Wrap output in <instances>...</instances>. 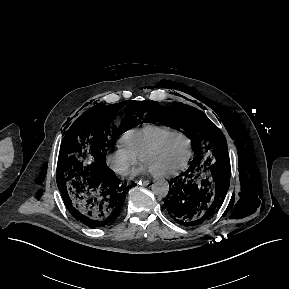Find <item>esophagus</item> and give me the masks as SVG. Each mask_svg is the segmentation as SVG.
Segmentation results:
<instances>
[{"mask_svg":"<svg viewBox=\"0 0 289 289\" xmlns=\"http://www.w3.org/2000/svg\"><path fill=\"white\" fill-rule=\"evenodd\" d=\"M137 183L139 185L147 186L150 184V181L149 180H139V181H137Z\"/></svg>","mask_w":289,"mask_h":289,"instance_id":"34e87169","label":"esophagus"}]
</instances>
